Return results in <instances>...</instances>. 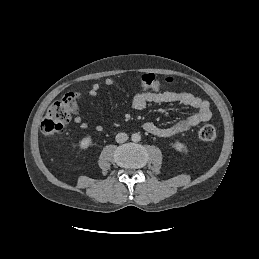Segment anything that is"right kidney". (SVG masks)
<instances>
[{
    "mask_svg": "<svg viewBox=\"0 0 259 259\" xmlns=\"http://www.w3.org/2000/svg\"><path fill=\"white\" fill-rule=\"evenodd\" d=\"M92 144V138L90 136L84 137L80 142H79V148L81 150H86L88 147H90Z\"/></svg>",
    "mask_w": 259,
    "mask_h": 259,
    "instance_id": "obj_1",
    "label": "right kidney"
}]
</instances>
